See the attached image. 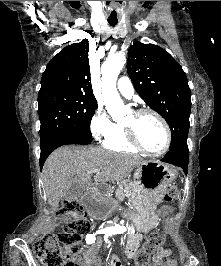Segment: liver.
I'll return each instance as SVG.
<instances>
[{
  "label": "liver",
  "mask_w": 221,
  "mask_h": 266,
  "mask_svg": "<svg viewBox=\"0 0 221 266\" xmlns=\"http://www.w3.org/2000/svg\"><path fill=\"white\" fill-rule=\"evenodd\" d=\"M143 162L137 155L116 153L100 147H60L47 158L42 170L48 203L56 209L71 185H89L93 168L101 170L93 178L99 184L123 180Z\"/></svg>",
  "instance_id": "6515ba94"
}]
</instances>
